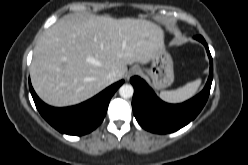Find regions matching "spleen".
Masks as SVG:
<instances>
[{
	"instance_id": "1",
	"label": "spleen",
	"mask_w": 248,
	"mask_h": 165,
	"mask_svg": "<svg viewBox=\"0 0 248 165\" xmlns=\"http://www.w3.org/2000/svg\"><path fill=\"white\" fill-rule=\"evenodd\" d=\"M200 84L201 79L199 78L193 82L187 83L185 86L178 88L177 90L161 91L159 97L168 103H181L193 97Z\"/></svg>"
}]
</instances>
